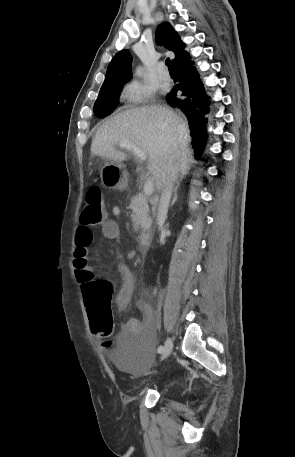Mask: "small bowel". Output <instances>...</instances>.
I'll list each match as a JSON object with an SVG mask.
<instances>
[{
    "instance_id": "c3829d8e",
    "label": "small bowel",
    "mask_w": 295,
    "mask_h": 457,
    "mask_svg": "<svg viewBox=\"0 0 295 457\" xmlns=\"http://www.w3.org/2000/svg\"><path fill=\"white\" fill-rule=\"evenodd\" d=\"M111 212L114 217H119L121 210L118 206H114L112 207ZM101 232L103 237L106 239H117L120 235V227L118 222L115 219H107L101 227ZM92 240V230L90 228L79 226L75 237L76 255L80 253L86 254L88 246L92 243ZM118 273L122 279V283L116 293L115 303L120 310H125L132 299L135 280L133 273L125 264H121L118 267ZM77 278L79 279L78 276ZM138 308L142 312V319H128L123 326V335H136L146 333L148 338H150L152 328L155 323L154 310L146 298H142L139 301Z\"/></svg>"
}]
</instances>
